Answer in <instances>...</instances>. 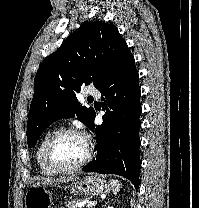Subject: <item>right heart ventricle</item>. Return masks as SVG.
I'll list each match as a JSON object with an SVG mask.
<instances>
[{
    "label": "right heart ventricle",
    "instance_id": "obj_1",
    "mask_svg": "<svg viewBox=\"0 0 199 208\" xmlns=\"http://www.w3.org/2000/svg\"><path fill=\"white\" fill-rule=\"evenodd\" d=\"M56 131H58L56 128H52V129L47 130L44 133V135L41 137V139L39 141V144H38V147H37V150H36L37 164H38L41 172L44 175H48V176L55 175L57 173L48 166V164L45 160V147H46L47 142L49 141V139L52 137V135Z\"/></svg>",
    "mask_w": 199,
    "mask_h": 208
}]
</instances>
